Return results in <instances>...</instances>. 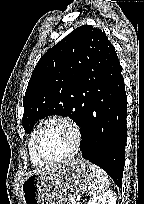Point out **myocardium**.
<instances>
[{"label": "myocardium", "instance_id": "1", "mask_svg": "<svg viewBox=\"0 0 144 204\" xmlns=\"http://www.w3.org/2000/svg\"><path fill=\"white\" fill-rule=\"evenodd\" d=\"M55 123H62L70 127L74 135V145L72 151L68 155L58 159H49L41 153L40 141L46 129L50 125ZM81 144H82V132L79 124L74 119L68 116H54L45 121L39 128L34 141V152L36 157L45 164H60L73 159L79 153Z\"/></svg>", "mask_w": 144, "mask_h": 204}]
</instances>
